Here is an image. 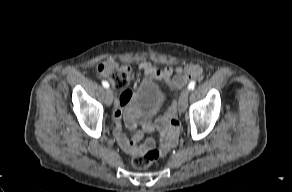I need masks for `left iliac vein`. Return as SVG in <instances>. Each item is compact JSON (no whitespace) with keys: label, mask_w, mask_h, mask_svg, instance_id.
Returning a JSON list of instances; mask_svg holds the SVG:
<instances>
[{"label":"left iliac vein","mask_w":292,"mask_h":192,"mask_svg":"<svg viewBox=\"0 0 292 192\" xmlns=\"http://www.w3.org/2000/svg\"><path fill=\"white\" fill-rule=\"evenodd\" d=\"M188 103V91L184 90L179 98V111L183 113L187 108Z\"/></svg>","instance_id":"4c4485c4"}]
</instances>
